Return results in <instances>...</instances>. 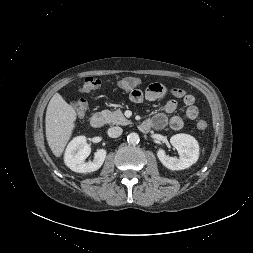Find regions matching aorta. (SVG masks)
I'll list each match as a JSON object with an SVG mask.
<instances>
[{"instance_id": "762f6f07", "label": "aorta", "mask_w": 253, "mask_h": 253, "mask_svg": "<svg viewBox=\"0 0 253 253\" xmlns=\"http://www.w3.org/2000/svg\"><path fill=\"white\" fill-rule=\"evenodd\" d=\"M127 141L130 144H138L140 141L139 135L137 133L132 132L127 136Z\"/></svg>"}]
</instances>
